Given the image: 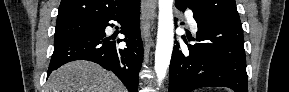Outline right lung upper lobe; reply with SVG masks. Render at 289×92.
Wrapping results in <instances>:
<instances>
[{"label": "right lung upper lobe", "mask_w": 289, "mask_h": 92, "mask_svg": "<svg viewBox=\"0 0 289 92\" xmlns=\"http://www.w3.org/2000/svg\"><path fill=\"white\" fill-rule=\"evenodd\" d=\"M138 0H61L57 24L99 22L129 9Z\"/></svg>", "instance_id": "obj_1"}]
</instances>
